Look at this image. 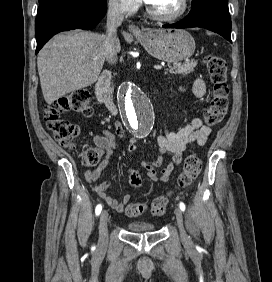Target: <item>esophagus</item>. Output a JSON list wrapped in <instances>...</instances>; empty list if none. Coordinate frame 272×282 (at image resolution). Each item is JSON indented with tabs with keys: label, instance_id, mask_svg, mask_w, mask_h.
I'll list each match as a JSON object with an SVG mask.
<instances>
[{
	"label": "esophagus",
	"instance_id": "34e87169",
	"mask_svg": "<svg viewBox=\"0 0 272 282\" xmlns=\"http://www.w3.org/2000/svg\"><path fill=\"white\" fill-rule=\"evenodd\" d=\"M129 31L133 34H139L140 33V29L138 26L134 25V24H130L128 27Z\"/></svg>",
	"mask_w": 272,
	"mask_h": 282
}]
</instances>
